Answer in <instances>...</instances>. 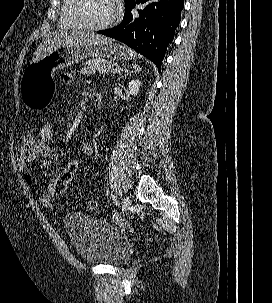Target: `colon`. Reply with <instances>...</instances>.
<instances>
[{"mask_svg":"<svg viewBox=\"0 0 272 303\" xmlns=\"http://www.w3.org/2000/svg\"><path fill=\"white\" fill-rule=\"evenodd\" d=\"M56 125L50 118L42 121L38 128L37 140L44 145L52 146L55 140ZM80 168V160L77 157H72L66 167L61 171L58 177L53 182V188L56 196H62L67 192L70 182L77 174ZM98 203L95 199L88 201V208L91 211L96 210Z\"/></svg>","mask_w":272,"mask_h":303,"instance_id":"obj_1","label":"colon"}]
</instances>
